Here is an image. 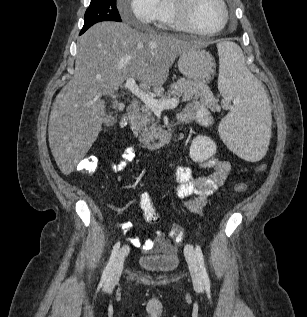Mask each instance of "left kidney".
I'll return each mask as SVG.
<instances>
[{"mask_svg": "<svg viewBox=\"0 0 307 317\" xmlns=\"http://www.w3.org/2000/svg\"><path fill=\"white\" fill-rule=\"evenodd\" d=\"M217 150L213 140L207 136H197L190 146V157L194 162L202 163L212 157Z\"/></svg>", "mask_w": 307, "mask_h": 317, "instance_id": "5707ae66", "label": "left kidney"}]
</instances>
